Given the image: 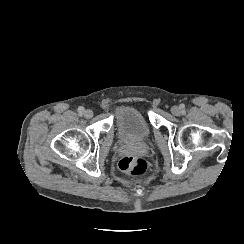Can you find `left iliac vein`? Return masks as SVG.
Returning <instances> with one entry per match:
<instances>
[{"instance_id":"left-iliac-vein-1","label":"left iliac vein","mask_w":244,"mask_h":244,"mask_svg":"<svg viewBox=\"0 0 244 244\" xmlns=\"http://www.w3.org/2000/svg\"><path fill=\"white\" fill-rule=\"evenodd\" d=\"M171 113L175 116L181 115V109L178 106H173L171 108Z\"/></svg>"}]
</instances>
